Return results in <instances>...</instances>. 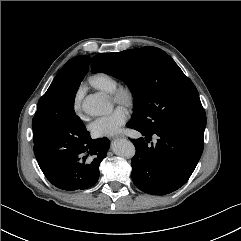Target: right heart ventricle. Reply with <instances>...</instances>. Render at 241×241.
<instances>
[{
  "mask_svg": "<svg viewBox=\"0 0 241 241\" xmlns=\"http://www.w3.org/2000/svg\"><path fill=\"white\" fill-rule=\"evenodd\" d=\"M89 83L96 89L111 94L118 87V80L106 72H97L90 76Z\"/></svg>",
  "mask_w": 241,
  "mask_h": 241,
  "instance_id": "e07e8e85",
  "label": "right heart ventricle"
}]
</instances>
